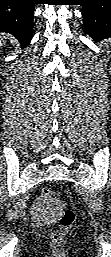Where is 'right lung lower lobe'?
I'll use <instances>...</instances> for the list:
<instances>
[{"label":"right lung lower lobe","mask_w":111,"mask_h":257,"mask_svg":"<svg viewBox=\"0 0 111 257\" xmlns=\"http://www.w3.org/2000/svg\"><path fill=\"white\" fill-rule=\"evenodd\" d=\"M33 0H0V32L14 35L22 47L32 39Z\"/></svg>","instance_id":"98d812e1"}]
</instances>
